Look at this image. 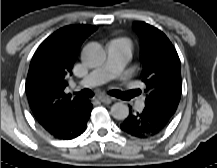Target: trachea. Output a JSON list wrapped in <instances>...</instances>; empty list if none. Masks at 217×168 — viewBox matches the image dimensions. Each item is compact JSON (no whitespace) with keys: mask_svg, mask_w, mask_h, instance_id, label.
<instances>
[{"mask_svg":"<svg viewBox=\"0 0 217 168\" xmlns=\"http://www.w3.org/2000/svg\"><path fill=\"white\" fill-rule=\"evenodd\" d=\"M75 94L81 96L82 98H90L93 97L94 95L90 89H83L82 91L77 92ZM108 94L120 99H129L131 97L130 95L129 96L127 95L128 93H124L118 90H111L108 92Z\"/></svg>","mask_w":217,"mask_h":168,"instance_id":"obj_1","label":"trachea"}]
</instances>
